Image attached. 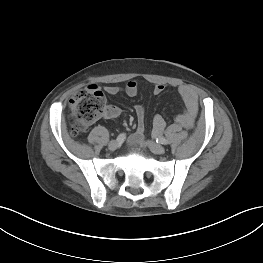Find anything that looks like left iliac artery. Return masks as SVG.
<instances>
[{"mask_svg": "<svg viewBox=\"0 0 263 263\" xmlns=\"http://www.w3.org/2000/svg\"><path fill=\"white\" fill-rule=\"evenodd\" d=\"M156 142L160 144H164V145L168 144V140H166L164 137H161V136L156 138Z\"/></svg>", "mask_w": 263, "mask_h": 263, "instance_id": "44dca946", "label": "left iliac artery"}]
</instances>
